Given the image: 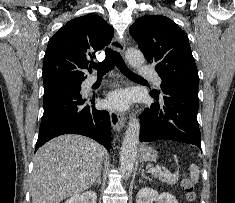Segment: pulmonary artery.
<instances>
[{"label":"pulmonary artery","instance_id":"obj_1","mask_svg":"<svg viewBox=\"0 0 235 203\" xmlns=\"http://www.w3.org/2000/svg\"><path fill=\"white\" fill-rule=\"evenodd\" d=\"M140 73L142 75L150 77L152 79V81L154 82V84L156 86L160 87V85H161V78L157 75L156 72H154L151 69H147L146 67H141L140 68ZM96 80H97L96 77H90L87 80L86 84L87 85H92V84H94L96 82Z\"/></svg>","mask_w":235,"mask_h":203}]
</instances>
